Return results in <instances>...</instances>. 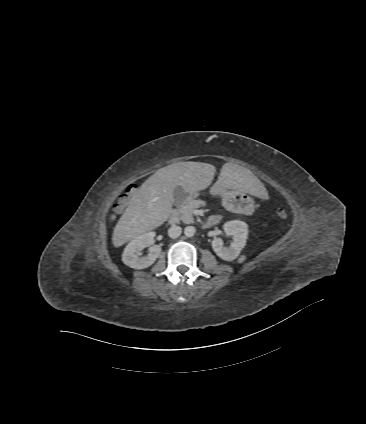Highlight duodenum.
Here are the masks:
<instances>
[{"instance_id": "duodenum-1", "label": "duodenum", "mask_w": 366, "mask_h": 424, "mask_svg": "<svg viewBox=\"0 0 366 424\" xmlns=\"http://www.w3.org/2000/svg\"><path fill=\"white\" fill-rule=\"evenodd\" d=\"M214 225V223L211 221V220H209V221H207L206 223H205V227H211V226H213Z\"/></svg>"}]
</instances>
